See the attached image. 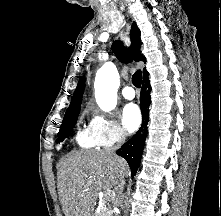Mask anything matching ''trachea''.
<instances>
[{
	"label": "trachea",
	"instance_id": "trachea-1",
	"mask_svg": "<svg viewBox=\"0 0 221 216\" xmlns=\"http://www.w3.org/2000/svg\"><path fill=\"white\" fill-rule=\"evenodd\" d=\"M132 83L135 87L140 88L142 83V73L141 71H136L132 76Z\"/></svg>",
	"mask_w": 221,
	"mask_h": 216
}]
</instances>
